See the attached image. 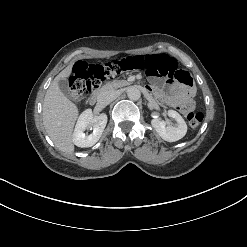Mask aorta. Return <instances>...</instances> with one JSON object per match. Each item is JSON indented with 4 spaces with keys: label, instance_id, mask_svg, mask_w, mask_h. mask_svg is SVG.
I'll return each mask as SVG.
<instances>
[{
    "label": "aorta",
    "instance_id": "1",
    "mask_svg": "<svg viewBox=\"0 0 247 247\" xmlns=\"http://www.w3.org/2000/svg\"><path fill=\"white\" fill-rule=\"evenodd\" d=\"M127 96L130 100L137 101L141 97V92L137 87H130L127 91Z\"/></svg>",
    "mask_w": 247,
    "mask_h": 247
}]
</instances>
